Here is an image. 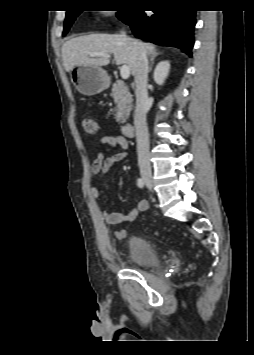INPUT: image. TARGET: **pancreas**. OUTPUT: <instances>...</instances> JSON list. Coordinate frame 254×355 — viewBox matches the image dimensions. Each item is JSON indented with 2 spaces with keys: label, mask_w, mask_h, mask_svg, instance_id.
I'll list each match as a JSON object with an SVG mask.
<instances>
[{
  "label": "pancreas",
  "mask_w": 254,
  "mask_h": 355,
  "mask_svg": "<svg viewBox=\"0 0 254 355\" xmlns=\"http://www.w3.org/2000/svg\"><path fill=\"white\" fill-rule=\"evenodd\" d=\"M111 96L116 104L115 119L118 123L124 124L132 109V95L123 81H116L112 87Z\"/></svg>",
  "instance_id": "cf45deb5"
}]
</instances>
